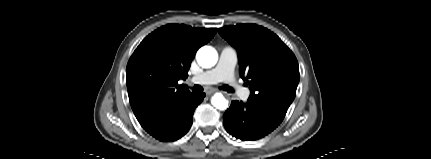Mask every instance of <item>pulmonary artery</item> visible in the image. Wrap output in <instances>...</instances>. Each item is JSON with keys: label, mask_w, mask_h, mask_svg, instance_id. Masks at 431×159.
Returning <instances> with one entry per match:
<instances>
[{"label": "pulmonary artery", "mask_w": 431, "mask_h": 159, "mask_svg": "<svg viewBox=\"0 0 431 159\" xmlns=\"http://www.w3.org/2000/svg\"><path fill=\"white\" fill-rule=\"evenodd\" d=\"M237 62V51L231 46H225L220 52L216 66L192 77L191 80L193 83L206 85L218 82L229 83L241 99L247 100L250 96V91L237 84L234 77Z\"/></svg>", "instance_id": "1"}]
</instances>
